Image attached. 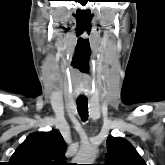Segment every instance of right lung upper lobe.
<instances>
[{
  "instance_id": "cb5924a9",
  "label": "right lung upper lobe",
  "mask_w": 165,
  "mask_h": 165,
  "mask_svg": "<svg viewBox=\"0 0 165 165\" xmlns=\"http://www.w3.org/2000/svg\"><path fill=\"white\" fill-rule=\"evenodd\" d=\"M66 143L58 130L30 134L12 155L10 165H68Z\"/></svg>"
}]
</instances>
